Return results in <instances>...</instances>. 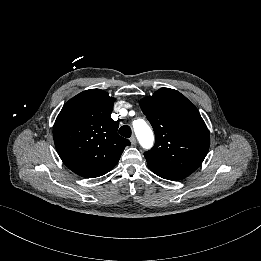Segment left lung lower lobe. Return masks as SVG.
Segmentation results:
<instances>
[{
	"mask_svg": "<svg viewBox=\"0 0 261 261\" xmlns=\"http://www.w3.org/2000/svg\"><path fill=\"white\" fill-rule=\"evenodd\" d=\"M149 166V165H148ZM149 168L159 177L167 179V180H172V181H176V180H181L184 179L186 176H183L181 174H177L174 172H170V171H166V170H161L152 166H149Z\"/></svg>",
	"mask_w": 261,
	"mask_h": 261,
	"instance_id": "left-lung-lower-lobe-1",
	"label": "left lung lower lobe"
}]
</instances>
